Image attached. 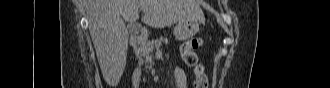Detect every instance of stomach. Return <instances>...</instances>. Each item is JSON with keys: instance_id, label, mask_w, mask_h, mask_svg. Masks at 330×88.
Segmentation results:
<instances>
[{"instance_id": "1", "label": "stomach", "mask_w": 330, "mask_h": 88, "mask_svg": "<svg viewBox=\"0 0 330 88\" xmlns=\"http://www.w3.org/2000/svg\"><path fill=\"white\" fill-rule=\"evenodd\" d=\"M198 30L199 20H185L177 23L173 33L177 40L185 41L193 37Z\"/></svg>"}]
</instances>
